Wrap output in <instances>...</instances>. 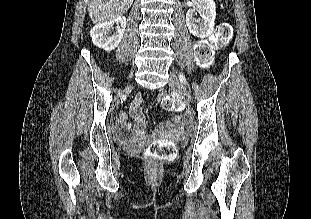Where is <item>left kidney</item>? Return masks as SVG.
Wrapping results in <instances>:
<instances>
[{
  "instance_id": "left-kidney-1",
  "label": "left kidney",
  "mask_w": 311,
  "mask_h": 219,
  "mask_svg": "<svg viewBox=\"0 0 311 219\" xmlns=\"http://www.w3.org/2000/svg\"><path fill=\"white\" fill-rule=\"evenodd\" d=\"M196 10L191 9L186 13V24L190 33L199 38L210 36L214 30L216 19V5L214 0H192ZM198 12L201 19H196Z\"/></svg>"
}]
</instances>
